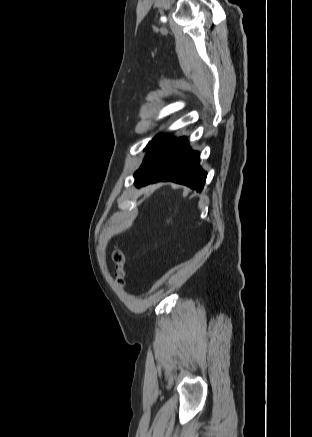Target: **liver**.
Here are the masks:
<instances>
[{
	"label": "liver",
	"instance_id": "1",
	"mask_svg": "<svg viewBox=\"0 0 312 437\" xmlns=\"http://www.w3.org/2000/svg\"><path fill=\"white\" fill-rule=\"evenodd\" d=\"M157 187H158L157 185H151V186H147V187L143 188L142 191H143L145 197H148L151 193H153Z\"/></svg>",
	"mask_w": 312,
	"mask_h": 437
}]
</instances>
